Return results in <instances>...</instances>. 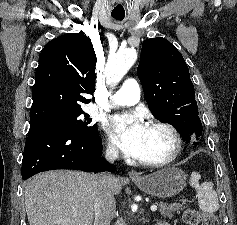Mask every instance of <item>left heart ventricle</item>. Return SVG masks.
Segmentation results:
<instances>
[{
    "label": "left heart ventricle",
    "instance_id": "b2bd125f",
    "mask_svg": "<svg viewBox=\"0 0 237 225\" xmlns=\"http://www.w3.org/2000/svg\"><path fill=\"white\" fill-rule=\"evenodd\" d=\"M172 145V138L166 131L147 127L143 140V149L139 159H162L171 152Z\"/></svg>",
    "mask_w": 237,
    "mask_h": 225
}]
</instances>
